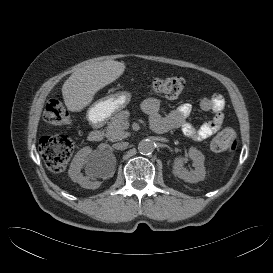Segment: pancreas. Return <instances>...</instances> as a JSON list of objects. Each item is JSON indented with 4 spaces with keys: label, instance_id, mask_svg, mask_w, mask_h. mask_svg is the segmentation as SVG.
I'll return each instance as SVG.
<instances>
[{
    "label": "pancreas",
    "instance_id": "1",
    "mask_svg": "<svg viewBox=\"0 0 273 273\" xmlns=\"http://www.w3.org/2000/svg\"><path fill=\"white\" fill-rule=\"evenodd\" d=\"M128 117L129 112L127 110L120 111L111 117L106 129V137L109 141H119L129 135L128 132H125V129H127L125 123Z\"/></svg>",
    "mask_w": 273,
    "mask_h": 273
}]
</instances>
